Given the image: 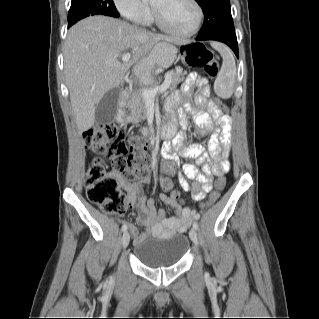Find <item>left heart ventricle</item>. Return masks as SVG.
<instances>
[{"label": "left heart ventricle", "mask_w": 319, "mask_h": 319, "mask_svg": "<svg viewBox=\"0 0 319 319\" xmlns=\"http://www.w3.org/2000/svg\"><path fill=\"white\" fill-rule=\"evenodd\" d=\"M152 6L165 23L177 31H188L195 23L196 10L188 0H153Z\"/></svg>", "instance_id": "obj_1"}]
</instances>
